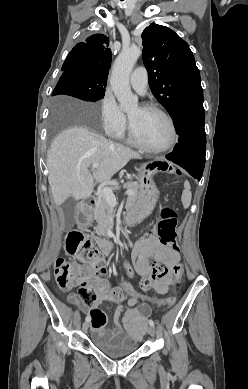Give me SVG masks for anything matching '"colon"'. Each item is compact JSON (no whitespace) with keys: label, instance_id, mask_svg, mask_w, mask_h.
<instances>
[{"label":"colon","instance_id":"5ec220e1","mask_svg":"<svg viewBox=\"0 0 248 389\" xmlns=\"http://www.w3.org/2000/svg\"><path fill=\"white\" fill-rule=\"evenodd\" d=\"M176 213L172 208H164L161 211L160 219L157 223V235L160 242L165 246H170L178 250L176 243ZM149 233H151L149 231ZM64 247L66 251L79 258L83 265L72 263L64 259H58L55 263V280L62 289H69L79 285L78 294L86 304H93L97 300H113L115 302L124 299L123 294L112 290L106 285L109 270L104 264L100 252L85 238L81 232H70L65 236ZM184 267L176 264L172 267L173 280L170 285L169 297H161L159 294H151L147 291H137L136 287L128 280H121L123 291L127 292L130 298L143 299L144 304L156 306L158 310L171 307L175 302L174 295L181 288V276ZM122 272L127 274L129 280L135 278L134 266L127 264ZM168 273V268L158 263L153 264L152 272L149 276L140 281L143 290H149L154 281L160 279ZM155 300V301H154ZM92 327L101 329L106 325V314L96 306L92 307L90 313Z\"/></svg>","mask_w":248,"mask_h":389}]
</instances>
